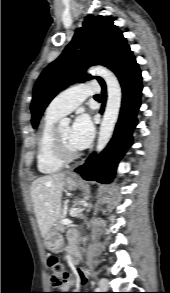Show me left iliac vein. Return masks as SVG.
<instances>
[{
    "label": "left iliac vein",
    "mask_w": 170,
    "mask_h": 293,
    "mask_svg": "<svg viewBox=\"0 0 170 293\" xmlns=\"http://www.w3.org/2000/svg\"><path fill=\"white\" fill-rule=\"evenodd\" d=\"M100 288L103 289V290H107L108 289V286H109V282L107 279H101L100 282Z\"/></svg>",
    "instance_id": "4c4485c4"
}]
</instances>
